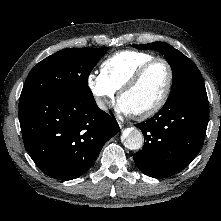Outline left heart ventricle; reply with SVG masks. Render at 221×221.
Wrapping results in <instances>:
<instances>
[{
	"label": "left heart ventricle",
	"mask_w": 221,
	"mask_h": 221,
	"mask_svg": "<svg viewBox=\"0 0 221 221\" xmlns=\"http://www.w3.org/2000/svg\"><path fill=\"white\" fill-rule=\"evenodd\" d=\"M168 81V71L164 64L151 66L140 81L122 98L132 113L146 110L153 106L162 96Z\"/></svg>",
	"instance_id": "1"
}]
</instances>
